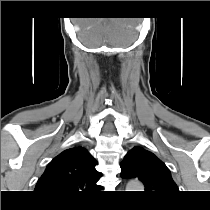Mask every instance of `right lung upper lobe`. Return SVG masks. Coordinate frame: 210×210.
<instances>
[{
    "mask_svg": "<svg viewBox=\"0 0 210 210\" xmlns=\"http://www.w3.org/2000/svg\"><path fill=\"white\" fill-rule=\"evenodd\" d=\"M96 161L83 147L67 149L56 156L38 180L35 192L56 203L70 202L97 190L100 173Z\"/></svg>",
    "mask_w": 210,
    "mask_h": 210,
    "instance_id": "cb5924a9",
    "label": "right lung upper lobe"
}]
</instances>
